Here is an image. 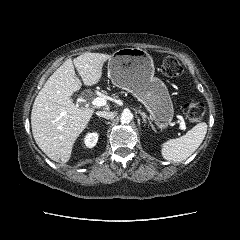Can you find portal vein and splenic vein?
<instances>
[{"mask_svg":"<svg viewBox=\"0 0 240 240\" xmlns=\"http://www.w3.org/2000/svg\"><path fill=\"white\" fill-rule=\"evenodd\" d=\"M91 104L96 107H101L106 105V99L103 97H96L94 100H92ZM177 118L180 120V130H186L185 123L183 121L182 116L178 115Z\"/></svg>","mask_w":240,"mask_h":240,"instance_id":"obj_1","label":"portal vein and splenic vein"}]
</instances>
